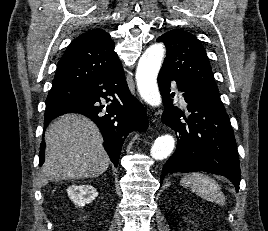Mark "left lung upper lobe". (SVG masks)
Listing matches in <instances>:
<instances>
[{
	"label": "left lung upper lobe",
	"mask_w": 268,
	"mask_h": 231,
	"mask_svg": "<svg viewBox=\"0 0 268 231\" xmlns=\"http://www.w3.org/2000/svg\"><path fill=\"white\" fill-rule=\"evenodd\" d=\"M157 42H163L167 50L161 70L198 89L224 108L206 51L193 34L175 29L162 34Z\"/></svg>",
	"instance_id": "5c2ea615"
}]
</instances>
